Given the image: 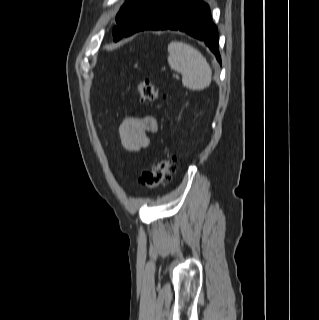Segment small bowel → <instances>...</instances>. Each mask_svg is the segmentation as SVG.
<instances>
[{
	"mask_svg": "<svg viewBox=\"0 0 319 320\" xmlns=\"http://www.w3.org/2000/svg\"><path fill=\"white\" fill-rule=\"evenodd\" d=\"M158 131L157 120L152 115L138 117L125 116L118 128V137L121 147L128 152H136L150 145V134Z\"/></svg>",
	"mask_w": 319,
	"mask_h": 320,
	"instance_id": "obj_1",
	"label": "small bowel"
}]
</instances>
